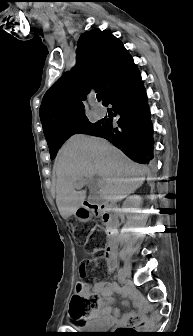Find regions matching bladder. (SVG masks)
<instances>
[{
    "label": "bladder",
    "instance_id": "31cf9c89",
    "mask_svg": "<svg viewBox=\"0 0 193 336\" xmlns=\"http://www.w3.org/2000/svg\"><path fill=\"white\" fill-rule=\"evenodd\" d=\"M85 330L88 331H98L103 330L105 328V325L102 321L96 320V321H89L83 325Z\"/></svg>",
    "mask_w": 193,
    "mask_h": 336
}]
</instances>
